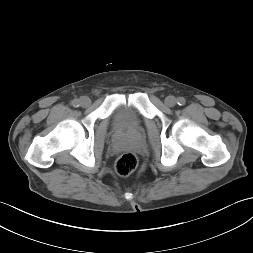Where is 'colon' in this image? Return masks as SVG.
I'll return each instance as SVG.
<instances>
[{"mask_svg":"<svg viewBox=\"0 0 253 253\" xmlns=\"http://www.w3.org/2000/svg\"><path fill=\"white\" fill-rule=\"evenodd\" d=\"M137 164V156L132 152H125L116 159L115 171L120 176H128L136 169Z\"/></svg>","mask_w":253,"mask_h":253,"instance_id":"5ec220e1","label":"colon"}]
</instances>
